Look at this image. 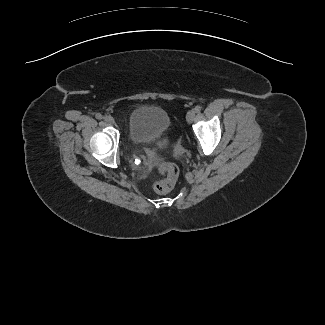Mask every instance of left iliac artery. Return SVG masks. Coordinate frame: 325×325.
Returning a JSON list of instances; mask_svg holds the SVG:
<instances>
[{
    "mask_svg": "<svg viewBox=\"0 0 325 325\" xmlns=\"http://www.w3.org/2000/svg\"><path fill=\"white\" fill-rule=\"evenodd\" d=\"M194 110L196 113H199L201 111V106L197 105Z\"/></svg>",
    "mask_w": 325,
    "mask_h": 325,
    "instance_id": "1",
    "label": "left iliac artery"
}]
</instances>
